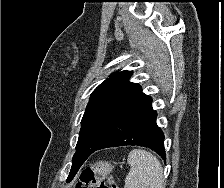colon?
I'll use <instances>...</instances> for the list:
<instances>
[{
	"instance_id": "5ec220e1",
	"label": "colon",
	"mask_w": 224,
	"mask_h": 188,
	"mask_svg": "<svg viewBox=\"0 0 224 188\" xmlns=\"http://www.w3.org/2000/svg\"><path fill=\"white\" fill-rule=\"evenodd\" d=\"M74 188H118V185L108 177L98 176L92 168L87 167L81 172Z\"/></svg>"
}]
</instances>
